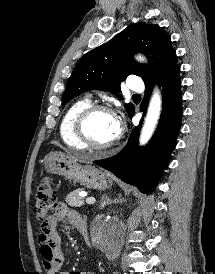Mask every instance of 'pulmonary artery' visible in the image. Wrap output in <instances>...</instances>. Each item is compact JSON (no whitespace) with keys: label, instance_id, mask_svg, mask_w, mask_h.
I'll use <instances>...</instances> for the list:
<instances>
[{"label":"pulmonary artery","instance_id":"1","mask_svg":"<svg viewBox=\"0 0 215 274\" xmlns=\"http://www.w3.org/2000/svg\"><path fill=\"white\" fill-rule=\"evenodd\" d=\"M127 87L131 91L141 92L144 89V85L139 78L133 77L127 81Z\"/></svg>","mask_w":215,"mask_h":274}]
</instances>
